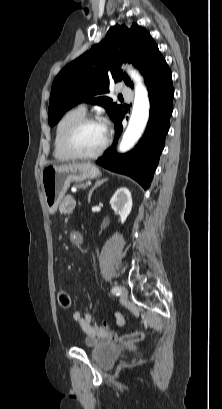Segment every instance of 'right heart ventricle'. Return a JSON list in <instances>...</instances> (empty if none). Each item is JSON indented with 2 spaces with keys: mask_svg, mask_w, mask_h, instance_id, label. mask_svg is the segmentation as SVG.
Returning a JSON list of instances; mask_svg holds the SVG:
<instances>
[{
  "mask_svg": "<svg viewBox=\"0 0 222 409\" xmlns=\"http://www.w3.org/2000/svg\"><path fill=\"white\" fill-rule=\"evenodd\" d=\"M85 116V111L81 108H73L67 111L58 121L54 136L53 154L58 161H70L73 159L64 148V136L69 127L77 120Z\"/></svg>",
  "mask_w": 222,
  "mask_h": 409,
  "instance_id": "1",
  "label": "right heart ventricle"
}]
</instances>
